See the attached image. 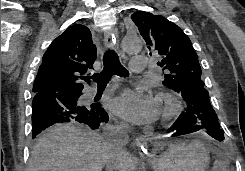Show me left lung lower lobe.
I'll use <instances>...</instances> for the list:
<instances>
[{
  "label": "left lung lower lobe",
  "mask_w": 245,
  "mask_h": 171,
  "mask_svg": "<svg viewBox=\"0 0 245 171\" xmlns=\"http://www.w3.org/2000/svg\"><path fill=\"white\" fill-rule=\"evenodd\" d=\"M187 104L174 124L168 129L173 136H181L206 129L218 141L224 140L218 117L212 108L208 91L202 86H188L179 92Z\"/></svg>",
  "instance_id": "0a47b994"
}]
</instances>
